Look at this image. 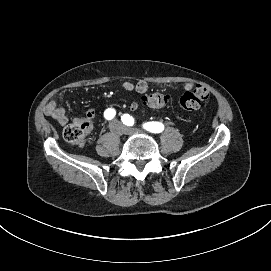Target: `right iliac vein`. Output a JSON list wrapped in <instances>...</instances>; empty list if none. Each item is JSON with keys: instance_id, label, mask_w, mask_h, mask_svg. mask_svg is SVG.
I'll list each match as a JSON object with an SVG mask.
<instances>
[{"instance_id": "obj_1", "label": "right iliac vein", "mask_w": 271, "mask_h": 271, "mask_svg": "<svg viewBox=\"0 0 271 271\" xmlns=\"http://www.w3.org/2000/svg\"><path fill=\"white\" fill-rule=\"evenodd\" d=\"M110 131L120 136L122 133L125 132V129L120 122L113 121L110 124Z\"/></svg>"}]
</instances>
